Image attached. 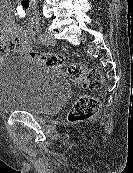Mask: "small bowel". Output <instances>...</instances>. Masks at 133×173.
Listing matches in <instances>:
<instances>
[{"mask_svg":"<svg viewBox=\"0 0 133 173\" xmlns=\"http://www.w3.org/2000/svg\"><path fill=\"white\" fill-rule=\"evenodd\" d=\"M18 9L17 13L21 12L29 15V23L26 28H22L11 19L3 18L0 20V52L5 51V47L9 42H16V46L12 50L1 54L0 59L5 58L7 55H26L30 57L33 52L31 44L38 29V14L32 8V5H26L23 0L19 1Z\"/></svg>","mask_w":133,"mask_h":173,"instance_id":"c3829d8e","label":"small bowel"}]
</instances>
